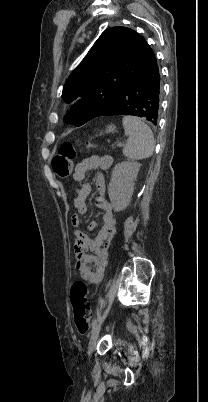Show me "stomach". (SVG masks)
<instances>
[{
    "label": "stomach",
    "mask_w": 208,
    "mask_h": 402,
    "mask_svg": "<svg viewBox=\"0 0 208 402\" xmlns=\"http://www.w3.org/2000/svg\"><path fill=\"white\" fill-rule=\"evenodd\" d=\"M106 132L107 134H110V132H115V126H108Z\"/></svg>",
    "instance_id": "stomach-1"
}]
</instances>
